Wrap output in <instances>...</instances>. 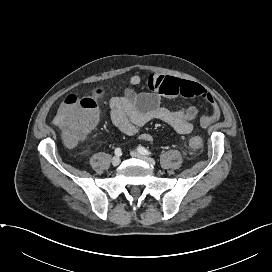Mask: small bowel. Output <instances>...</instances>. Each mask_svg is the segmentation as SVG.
Here are the masks:
<instances>
[{
  "instance_id": "1",
  "label": "small bowel",
  "mask_w": 272,
  "mask_h": 272,
  "mask_svg": "<svg viewBox=\"0 0 272 272\" xmlns=\"http://www.w3.org/2000/svg\"><path fill=\"white\" fill-rule=\"evenodd\" d=\"M144 80L150 91L136 93L134 88ZM179 96L201 98L211 107V114L199 119L203 127L218 120L220 108L214 97L201 85L172 76L151 74L144 79L142 75L135 74L127 81L124 94L110 100L112 122L126 135L136 134L140 127L154 120L165 122L179 134H190L198 118V109L185 106L172 110L162 103L163 98ZM141 139L150 141L152 137L143 134Z\"/></svg>"
}]
</instances>
